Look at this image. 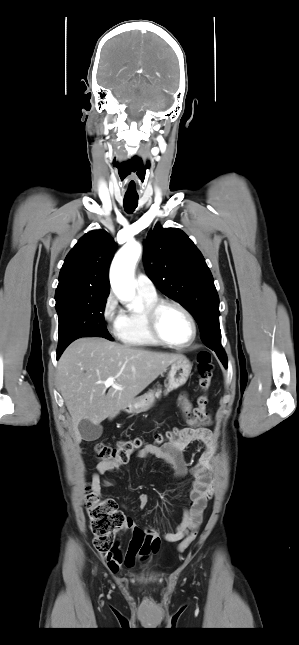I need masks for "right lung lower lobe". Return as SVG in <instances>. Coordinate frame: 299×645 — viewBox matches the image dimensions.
I'll return each mask as SVG.
<instances>
[{
  "label": "right lung lower lobe",
  "mask_w": 299,
  "mask_h": 645,
  "mask_svg": "<svg viewBox=\"0 0 299 645\" xmlns=\"http://www.w3.org/2000/svg\"><path fill=\"white\" fill-rule=\"evenodd\" d=\"M63 351H64V350H63ZM63 351L57 352V358H59V357H60V355L62 354V352H63Z\"/></svg>",
  "instance_id": "98d812e1"
}]
</instances>
